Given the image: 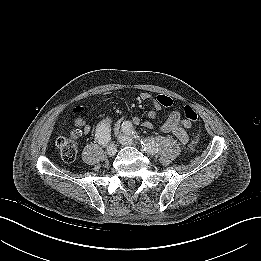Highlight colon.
Masks as SVG:
<instances>
[{
  "label": "colon",
  "mask_w": 261,
  "mask_h": 261,
  "mask_svg": "<svg viewBox=\"0 0 261 261\" xmlns=\"http://www.w3.org/2000/svg\"><path fill=\"white\" fill-rule=\"evenodd\" d=\"M161 100L165 101L163 96L159 97ZM184 117L188 122H193L197 120V113L191 106H185ZM61 156L65 161H72L77 153V148L75 144L70 143L69 141H64L60 143Z\"/></svg>",
  "instance_id": "1"
}]
</instances>
